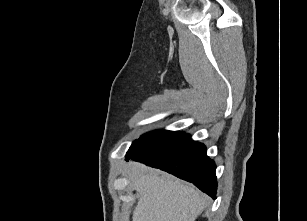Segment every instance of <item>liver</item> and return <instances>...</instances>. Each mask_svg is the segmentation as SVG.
<instances>
[{
  "label": "liver",
  "instance_id": "liver-1",
  "mask_svg": "<svg viewBox=\"0 0 307 221\" xmlns=\"http://www.w3.org/2000/svg\"><path fill=\"white\" fill-rule=\"evenodd\" d=\"M128 175L139 195L132 221H195L206 204L194 187L158 170L132 163Z\"/></svg>",
  "mask_w": 307,
  "mask_h": 221
}]
</instances>
